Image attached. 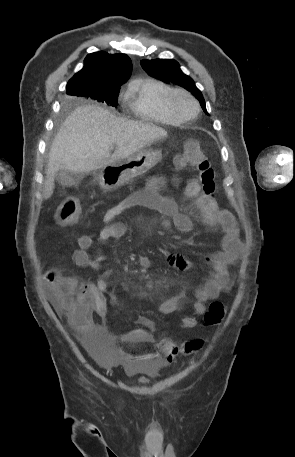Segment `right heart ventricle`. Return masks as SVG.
Masks as SVG:
<instances>
[{
    "label": "right heart ventricle",
    "instance_id": "e07e8e85",
    "mask_svg": "<svg viewBox=\"0 0 295 457\" xmlns=\"http://www.w3.org/2000/svg\"><path fill=\"white\" fill-rule=\"evenodd\" d=\"M172 88L166 83L148 78L136 80L129 84L124 103L130 112L138 119L166 125L180 124L168 109L166 95Z\"/></svg>",
    "mask_w": 295,
    "mask_h": 457
}]
</instances>
